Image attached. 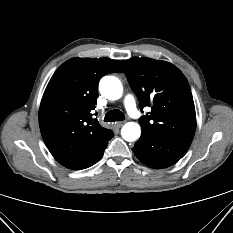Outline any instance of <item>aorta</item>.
<instances>
[{
	"label": "aorta",
	"mask_w": 233,
	"mask_h": 233,
	"mask_svg": "<svg viewBox=\"0 0 233 233\" xmlns=\"http://www.w3.org/2000/svg\"><path fill=\"white\" fill-rule=\"evenodd\" d=\"M101 94L109 100H116L122 96L123 87L120 80L115 76H104L99 84ZM121 135L128 142L136 141L141 135L138 123L128 122L121 130Z\"/></svg>",
	"instance_id": "762f6f07"
}]
</instances>
